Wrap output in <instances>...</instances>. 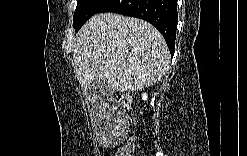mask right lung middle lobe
I'll use <instances>...</instances> for the list:
<instances>
[{
	"mask_svg": "<svg viewBox=\"0 0 247 156\" xmlns=\"http://www.w3.org/2000/svg\"><path fill=\"white\" fill-rule=\"evenodd\" d=\"M107 0H77V7L73 18L76 32L94 14L98 13Z\"/></svg>",
	"mask_w": 247,
	"mask_h": 156,
	"instance_id": "obj_1",
	"label": "right lung middle lobe"
}]
</instances>
